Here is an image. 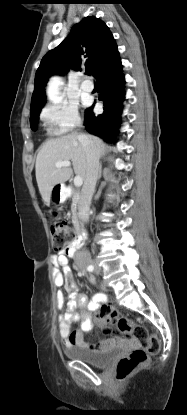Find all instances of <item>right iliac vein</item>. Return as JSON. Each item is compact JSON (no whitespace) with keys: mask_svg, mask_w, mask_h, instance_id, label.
<instances>
[{"mask_svg":"<svg viewBox=\"0 0 187 415\" xmlns=\"http://www.w3.org/2000/svg\"><path fill=\"white\" fill-rule=\"evenodd\" d=\"M95 272H96V273H100V268L96 266V267H95Z\"/></svg>","mask_w":187,"mask_h":415,"instance_id":"obj_1","label":"right iliac vein"}]
</instances>
